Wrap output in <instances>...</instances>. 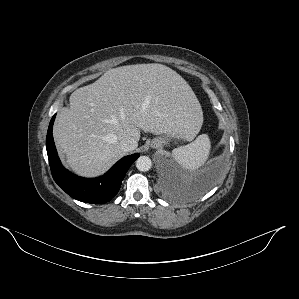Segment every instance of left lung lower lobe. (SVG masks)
Masks as SVG:
<instances>
[{
    "label": "left lung lower lobe",
    "mask_w": 299,
    "mask_h": 299,
    "mask_svg": "<svg viewBox=\"0 0 299 299\" xmlns=\"http://www.w3.org/2000/svg\"><path fill=\"white\" fill-rule=\"evenodd\" d=\"M219 175V166L215 163L207 166L199 173L193 183L195 192H204L208 190L215 183Z\"/></svg>",
    "instance_id": "0a47b994"
}]
</instances>
